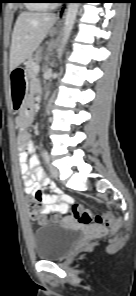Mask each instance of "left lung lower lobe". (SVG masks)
<instances>
[{"instance_id": "0a47b994", "label": "left lung lower lobe", "mask_w": 136, "mask_h": 296, "mask_svg": "<svg viewBox=\"0 0 136 296\" xmlns=\"http://www.w3.org/2000/svg\"><path fill=\"white\" fill-rule=\"evenodd\" d=\"M75 1H77V2H84L85 0H75Z\"/></svg>"}]
</instances>
